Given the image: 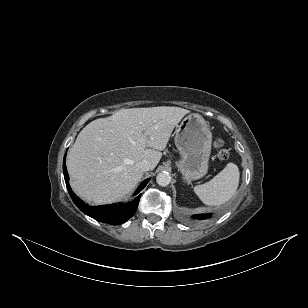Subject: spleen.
Instances as JSON below:
<instances>
[{"mask_svg":"<svg viewBox=\"0 0 308 308\" xmlns=\"http://www.w3.org/2000/svg\"><path fill=\"white\" fill-rule=\"evenodd\" d=\"M240 173L238 166L228 163L225 168L210 181L194 187L200 200L209 206H219L229 201L236 193Z\"/></svg>","mask_w":308,"mask_h":308,"instance_id":"3e777b00","label":"spleen"}]
</instances>
